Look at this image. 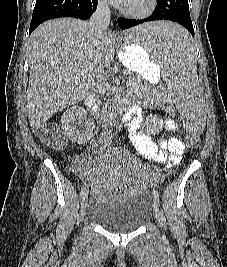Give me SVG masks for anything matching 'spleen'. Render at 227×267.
Listing matches in <instances>:
<instances>
[{
  "instance_id": "1",
  "label": "spleen",
  "mask_w": 227,
  "mask_h": 267,
  "mask_svg": "<svg viewBox=\"0 0 227 267\" xmlns=\"http://www.w3.org/2000/svg\"><path fill=\"white\" fill-rule=\"evenodd\" d=\"M124 43H133L134 47H144L149 59L164 63L163 81L168 82V89L176 98L179 106L178 115H203L201 110V88L197 76V61L188 29H183L181 22L174 19H152L135 25L126 33ZM189 137H200L206 129L205 116H181Z\"/></svg>"
}]
</instances>
